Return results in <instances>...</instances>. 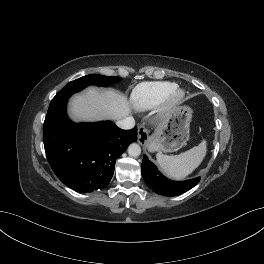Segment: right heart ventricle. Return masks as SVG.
I'll list each match as a JSON object with an SVG mask.
<instances>
[{
  "label": "right heart ventricle",
  "mask_w": 264,
  "mask_h": 264,
  "mask_svg": "<svg viewBox=\"0 0 264 264\" xmlns=\"http://www.w3.org/2000/svg\"><path fill=\"white\" fill-rule=\"evenodd\" d=\"M176 87L177 84L170 81L140 83L132 91V104L138 110L152 109L161 104L166 96Z\"/></svg>",
  "instance_id": "obj_1"
}]
</instances>
